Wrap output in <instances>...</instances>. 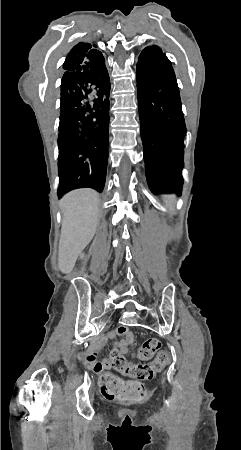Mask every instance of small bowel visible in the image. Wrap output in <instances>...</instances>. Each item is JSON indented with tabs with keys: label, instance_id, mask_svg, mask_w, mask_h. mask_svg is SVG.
<instances>
[{
	"label": "small bowel",
	"instance_id": "small-bowel-1",
	"mask_svg": "<svg viewBox=\"0 0 241 450\" xmlns=\"http://www.w3.org/2000/svg\"><path fill=\"white\" fill-rule=\"evenodd\" d=\"M117 335L121 336L122 339L114 343V350H117L120 354H126L128 347L133 343V333L127 326L121 325L117 328L116 332L110 333L109 337L115 338ZM103 343L104 341L99 342L94 348L89 350L85 356V363L96 373H101L111 367L110 359H103L102 361L97 360V349Z\"/></svg>",
	"mask_w": 241,
	"mask_h": 450
}]
</instances>
